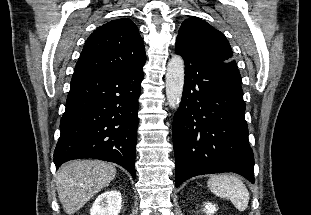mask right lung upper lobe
I'll return each mask as SVG.
<instances>
[{"instance_id":"1","label":"right lung upper lobe","mask_w":311,"mask_h":215,"mask_svg":"<svg viewBox=\"0 0 311 215\" xmlns=\"http://www.w3.org/2000/svg\"><path fill=\"white\" fill-rule=\"evenodd\" d=\"M146 61L143 40L128 18L113 20L94 30L88 37L74 71L130 73Z\"/></svg>"}]
</instances>
